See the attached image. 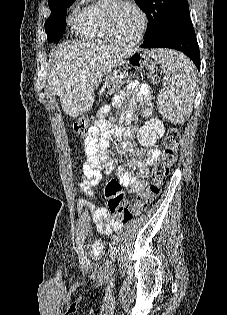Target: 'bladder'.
<instances>
[{"label": "bladder", "instance_id": "obj_1", "mask_svg": "<svg viewBox=\"0 0 227 315\" xmlns=\"http://www.w3.org/2000/svg\"><path fill=\"white\" fill-rule=\"evenodd\" d=\"M104 250L103 243L95 241L90 245L89 254L92 258H98L102 255Z\"/></svg>", "mask_w": 227, "mask_h": 315}]
</instances>
